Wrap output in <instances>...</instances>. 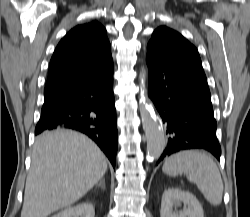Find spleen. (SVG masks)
<instances>
[{"mask_svg":"<svg viewBox=\"0 0 250 217\" xmlns=\"http://www.w3.org/2000/svg\"><path fill=\"white\" fill-rule=\"evenodd\" d=\"M163 172L169 176L186 174L210 204H221L223 181L216 163L208 154L196 150L178 152L166 158Z\"/></svg>","mask_w":250,"mask_h":217,"instance_id":"1","label":"spleen"}]
</instances>
